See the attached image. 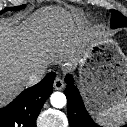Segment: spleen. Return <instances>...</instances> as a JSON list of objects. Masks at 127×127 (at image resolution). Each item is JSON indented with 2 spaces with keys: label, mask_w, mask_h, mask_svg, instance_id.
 Segmentation results:
<instances>
[{
  "label": "spleen",
  "mask_w": 127,
  "mask_h": 127,
  "mask_svg": "<svg viewBox=\"0 0 127 127\" xmlns=\"http://www.w3.org/2000/svg\"><path fill=\"white\" fill-rule=\"evenodd\" d=\"M95 117L98 122L110 127L123 124L127 120V97L117 104L99 111Z\"/></svg>",
  "instance_id": "1"
}]
</instances>
